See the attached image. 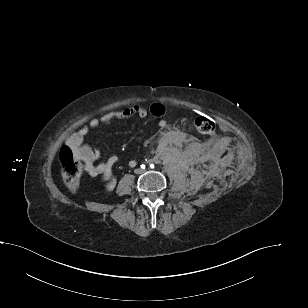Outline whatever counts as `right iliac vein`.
Returning <instances> with one entry per match:
<instances>
[{"mask_svg":"<svg viewBox=\"0 0 308 308\" xmlns=\"http://www.w3.org/2000/svg\"><path fill=\"white\" fill-rule=\"evenodd\" d=\"M142 171H143V170H142V169H140V168L135 169V173H136V174H141V173H142Z\"/></svg>","mask_w":308,"mask_h":308,"instance_id":"right-iliac-vein-1","label":"right iliac vein"}]
</instances>
